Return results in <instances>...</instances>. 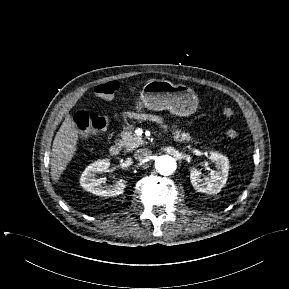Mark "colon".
Returning a JSON list of instances; mask_svg holds the SVG:
<instances>
[{"label":"colon","instance_id":"obj_1","mask_svg":"<svg viewBox=\"0 0 289 289\" xmlns=\"http://www.w3.org/2000/svg\"><path fill=\"white\" fill-rule=\"evenodd\" d=\"M119 82L109 81L103 84H99L95 87V94L103 99H111L119 89ZM223 115L231 119L234 116L232 108L225 106L222 109ZM73 122L78 128L81 136H84L92 131L104 130L107 126V118L98 114H88L84 111L77 112L73 117ZM227 136L231 139H237L239 133L235 129H228L226 132Z\"/></svg>","mask_w":289,"mask_h":289}]
</instances>
